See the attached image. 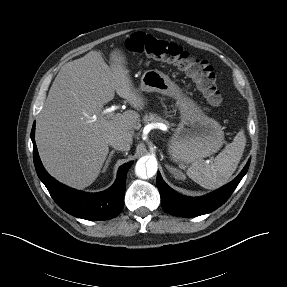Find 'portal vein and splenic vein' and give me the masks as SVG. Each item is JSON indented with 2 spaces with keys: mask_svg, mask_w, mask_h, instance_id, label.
<instances>
[{
  "mask_svg": "<svg viewBox=\"0 0 287 287\" xmlns=\"http://www.w3.org/2000/svg\"><path fill=\"white\" fill-rule=\"evenodd\" d=\"M103 114H106L108 118H112L114 116V108H108L104 110Z\"/></svg>",
  "mask_w": 287,
  "mask_h": 287,
  "instance_id": "18ae733b",
  "label": "portal vein and splenic vein"
}]
</instances>
